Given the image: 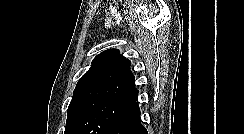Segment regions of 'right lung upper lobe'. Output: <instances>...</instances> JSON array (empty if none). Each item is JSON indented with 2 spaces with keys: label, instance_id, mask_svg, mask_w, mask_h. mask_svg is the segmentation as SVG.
Here are the masks:
<instances>
[{
  "label": "right lung upper lobe",
  "instance_id": "cb5924a9",
  "mask_svg": "<svg viewBox=\"0 0 244 134\" xmlns=\"http://www.w3.org/2000/svg\"><path fill=\"white\" fill-rule=\"evenodd\" d=\"M130 64L117 49H108L97 55L90 69L78 81L67 114L77 105L92 100L136 101L138 90Z\"/></svg>",
  "mask_w": 244,
  "mask_h": 134
}]
</instances>
